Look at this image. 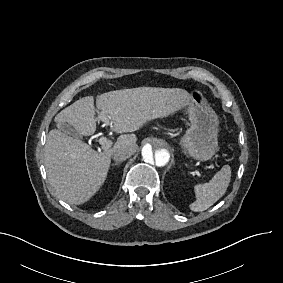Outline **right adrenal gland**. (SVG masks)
Returning a JSON list of instances; mask_svg holds the SVG:
<instances>
[{
	"label": "right adrenal gland",
	"instance_id": "obj_1",
	"mask_svg": "<svg viewBox=\"0 0 283 283\" xmlns=\"http://www.w3.org/2000/svg\"><path fill=\"white\" fill-rule=\"evenodd\" d=\"M118 164H119V163H118V162H116V163H114V164H113V166H116V165H118Z\"/></svg>",
	"mask_w": 283,
	"mask_h": 283
}]
</instances>
